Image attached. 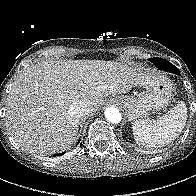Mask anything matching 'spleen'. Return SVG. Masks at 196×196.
I'll return each mask as SVG.
<instances>
[{"label": "spleen", "instance_id": "obj_1", "mask_svg": "<svg viewBox=\"0 0 196 196\" xmlns=\"http://www.w3.org/2000/svg\"><path fill=\"white\" fill-rule=\"evenodd\" d=\"M187 121V108L183 101L156 120H136L132 123L137 143L146 147H161L182 132Z\"/></svg>", "mask_w": 196, "mask_h": 196}]
</instances>
